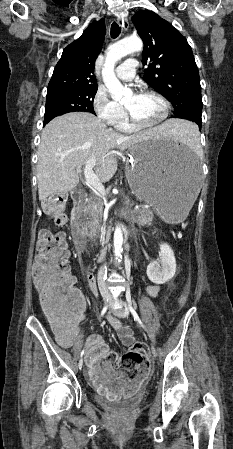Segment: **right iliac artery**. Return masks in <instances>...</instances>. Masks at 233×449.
Instances as JSON below:
<instances>
[{
  "label": "right iliac artery",
  "instance_id": "right-iliac-artery-1",
  "mask_svg": "<svg viewBox=\"0 0 233 449\" xmlns=\"http://www.w3.org/2000/svg\"><path fill=\"white\" fill-rule=\"evenodd\" d=\"M107 309H108V305L105 306V307L102 309L101 316L104 315V314L106 313ZM83 353H84V351H82L81 357L83 356Z\"/></svg>",
  "mask_w": 233,
  "mask_h": 449
}]
</instances>
